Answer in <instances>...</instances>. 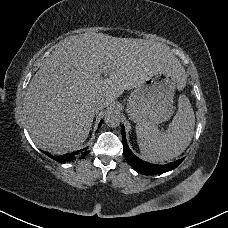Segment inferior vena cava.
I'll return each mask as SVG.
<instances>
[{"label": "inferior vena cava", "mask_w": 228, "mask_h": 228, "mask_svg": "<svg viewBox=\"0 0 228 228\" xmlns=\"http://www.w3.org/2000/svg\"><path fill=\"white\" fill-rule=\"evenodd\" d=\"M105 106V103L99 99L93 101V107L95 111L102 110Z\"/></svg>", "instance_id": "obj_1"}]
</instances>
